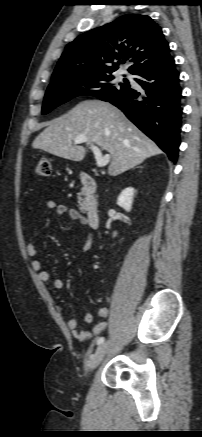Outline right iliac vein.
<instances>
[{"instance_id":"63e3f726","label":"right iliac vein","mask_w":202,"mask_h":437,"mask_svg":"<svg viewBox=\"0 0 202 437\" xmlns=\"http://www.w3.org/2000/svg\"><path fill=\"white\" fill-rule=\"evenodd\" d=\"M108 347H109V343H103L97 348L95 354L91 358V362H90L91 370H94L102 362V360L104 359L107 353Z\"/></svg>"}]
</instances>
